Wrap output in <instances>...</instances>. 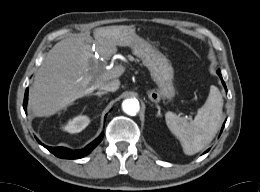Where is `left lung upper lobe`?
Here are the masks:
<instances>
[{
    "mask_svg": "<svg viewBox=\"0 0 260 192\" xmlns=\"http://www.w3.org/2000/svg\"><path fill=\"white\" fill-rule=\"evenodd\" d=\"M218 75H221L220 70L217 71Z\"/></svg>",
    "mask_w": 260,
    "mask_h": 192,
    "instance_id": "1",
    "label": "left lung upper lobe"
}]
</instances>
